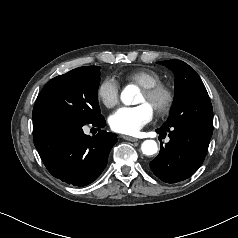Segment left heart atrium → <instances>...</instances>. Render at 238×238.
<instances>
[{
    "mask_svg": "<svg viewBox=\"0 0 238 238\" xmlns=\"http://www.w3.org/2000/svg\"><path fill=\"white\" fill-rule=\"evenodd\" d=\"M154 112L150 104L124 106L117 109L109 118L111 128L119 133L133 135L153 118Z\"/></svg>",
    "mask_w": 238,
    "mask_h": 238,
    "instance_id": "1",
    "label": "left heart atrium"
}]
</instances>
